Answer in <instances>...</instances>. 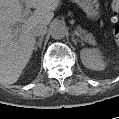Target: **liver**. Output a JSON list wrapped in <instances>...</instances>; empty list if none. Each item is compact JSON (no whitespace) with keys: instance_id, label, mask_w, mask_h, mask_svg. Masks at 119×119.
I'll list each match as a JSON object with an SVG mask.
<instances>
[{"instance_id":"liver-1","label":"liver","mask_w":119,"mask_h":119,"mask_svg":"<svg viewBox=\"0 0 119 119\" xmlns=\"http://www.w3.org/2000/svg\"><path fill=\"white\" fill-rule=\"evenodd\" d=\"M21 0H0V83L18 81L29 62L36 42L34 28L48 25L60 0H26L36 10L29 18L24 17ZM22 22L20 33L11 26Z\"/></svg>"}]
</instances>
